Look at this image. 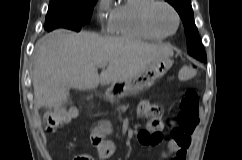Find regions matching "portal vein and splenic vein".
<instances>
[{
    "label": "portal vein and splenic vein",
    "mask_w": 242,
    "mask_h": 160,
    "mask_svg": "<svg viewBox=\"0 0 242 160\" xmlns=\"http://www.w3.org/2000/svg\"><path fill=\"white\" fill-rule=\"evenodd\" d=\"M98 67H100V68H105L106 67V65L105 64H101V65H99Z\"/></svg>",
    "instance_id": "18ae733b"
}]
</instances>
